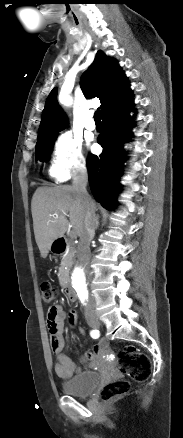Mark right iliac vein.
<instances>
[{
  "label": "right iliac vein",
  "instance_id": "obj_1",
  "mask_svg": "<svg viewBox=\"0 0 183 438\" xmlns=\"http://www.w3.org/2000/svg\"><path fill=\"white\" fill-rule=\"evenodd\" d=\"M89 324H90V326H92V327H94V328H97V327H99V325H100V321H99V319H98L97 316H92V317L89 319Z\"/></svg>",
  "mask_w": 183,
  "mask_h": 438
}]
</instances>
